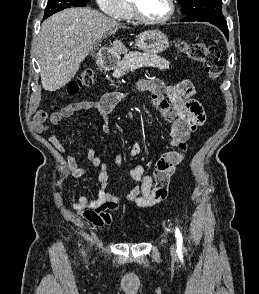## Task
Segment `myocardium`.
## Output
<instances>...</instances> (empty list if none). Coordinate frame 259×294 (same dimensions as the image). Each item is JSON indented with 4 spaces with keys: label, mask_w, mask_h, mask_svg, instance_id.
Instances as JSON below:
<instances>
[{
    "label": "myocardium",
    "mask_w": 259,
    "mask_h": 294,
    "mask_svg": "<svg viewBox=\"0 0 259 294\" xmlns=\"http://www.w3.org/2000/svg\"><path fill=\"white\" fill-rule=\"evenodd\" d=\"M134 18L142 24H146V25H159V24H164L166 22H168L175 14L176 11V3L175 0H168V4H169V9L168 12L165 16L161 17V18H157V19H152V18H148L146 17L141 10L139 9V7L136 4L135 0H129Z\"/></svg>",
    "instance_id": "f54148a6"
}]
</instances>
